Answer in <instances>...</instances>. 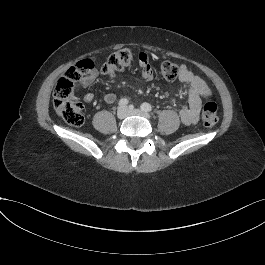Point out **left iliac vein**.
I'll list each match as a JSON object with an SVG mask.
<instances>
[{
	"instance_id": "4c4485c4",
	"label": "left iliac vein",
	"mask_w": 265,
	"mask_h": 265,
	"mask_svg": "<svg viewBox=\"0 0 265 265\" xmlns=\"http://www.w3.org/2000/svg\"><path fill=\"white\" fill-rule=\"evenodd\" d=\"M127 112H128V115H138V116L145 117L147 119L150 118V115L147 112L140 110V109H134V108L128 107Z\"/></svg>"
}]
</instances>
